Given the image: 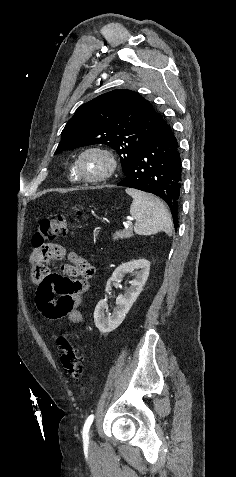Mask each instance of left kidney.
Listing matches in <instances>:
<instances>
[{"mask_svg": "<svg viewBox=\"0 0 236 477\" xmlns=\"http://www.w3.org/2000/svg\"><path fill=\"white\" fill-rule=\"evenodd\" d=\"M150 270V262L145 259L133 260L124 264H121L113 272L111 278L107 281L105 291L109 293L111 289V282H121L122 278L131 273L135 275V278L130 281V288L124 295H120L116 299V307L114 312L105 315V308L107 306L106 300L102 299L96 305L94 311V322L98 330L102 334L110 333L116 329L126 317L133 303L140 295L143 286L145 285Z\"/></svg>", "mask_w": 236, "mask_h": 477, "instance_id": "obj_1", "label": "left kidney"}]
</instances>
